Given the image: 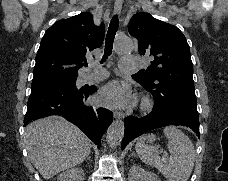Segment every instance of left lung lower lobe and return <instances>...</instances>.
Masks as SVG:
<instances>
[{"label":"left lung lower lobe","mask_w":228,"mask_h":181,"mask_svg":"<svg viewBox=\"0 0 228 181\" xmlns=\"http://www.w3.org/2000/svg\"><path fill=\"white\" fill-rule=\"evenodd\" d=\"M168 125L186 126L199 135L198 112L187 104L170 106L161 103L154 97V107L148 115L141 118L128 116L125 119V133L121 149L123 150L134 138L150 130Z\"/></svg>","instance_id":"obj_1"}]
</instances>
